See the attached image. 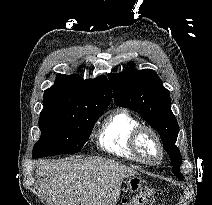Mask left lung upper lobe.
Instances as JSON below:
<instances>
[{
  "instance_id": "left-lung-upper-lobe-1",
  "label": "left lung upper lobe",
  "mask_w": 212,
  "mask_h": 205,
  "mask_svg": "<svg viewBox=\"0 0 212 205\" xmlns=\"http://www.w3.org/2000/svg\"><path fill=\"white\" fill-rule=\"evenodd\" d=\"M117 105L138 112L159 133L165 151L169 154L172 172L178 179L180 173V151L175 145L179 127L170 105L169 91L155 71L136 70L128 67L119 74L108 75Z\"/></svg>"
}]
</instances>
